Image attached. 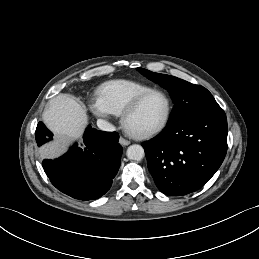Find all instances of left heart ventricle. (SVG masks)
I'll return each instance as SVG.
<instances>
[{
    "label": "left heart ventricle",
    "instance_id": "1",
    "mask_svg": "<svg viewBox=\"0 0 259 259\" xmlns=\"http://www.w3.org/2000/svg\"><path fill=\"white\" fill-rule=\"evenodd\" d=\"M166 112V99L162 94L155 93L148 96L131 114L127 121V127L137 133L147 131L157 126Z\"/></svg>",
    "mask_w": 259,
    "mask_h": 259
}]
</instances>
